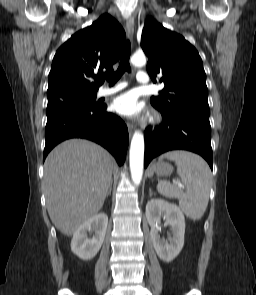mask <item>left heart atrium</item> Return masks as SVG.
Masks as SVG:
<instances>
[{
    "label": "left heart atrium",
    "mask_w": 256,
    "mask_h": 295,
    "mask_svg": "<svg viewBox=\"0 0 256 295\" xmlns=\"http://www.w3.org/2000/svg\"><path fill=\"white\" fill-rule=\"evenodd\" d=\"M113 106L118 113L126 117H135L142 110V103L134 91H128L118 96Z\"/></svg>",
    "instance_id": "left-heart-atrium-1"
}]
</instances>
